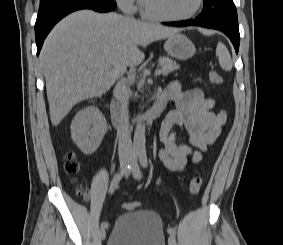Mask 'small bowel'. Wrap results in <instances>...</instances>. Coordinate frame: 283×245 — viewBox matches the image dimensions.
Here are the masks:
<instances>
[{
  "mask_svg": "<svg viewBox=\"0 0 283 245\" xmlns=\"http://www.w3.org/2000/svg\"><path fill=\"white\" fill-rule=\"evenodd\" d=\"M161 94L174 101L176 107L161 124L159 158L168 169L185 171L189 163L200 162L208 146L221 135L227 114L222 109L216 110L214 99L201 89L182 90L177 79L170 81ZM180 127L189 134L190 145L176 143Z\"/></svg>",
  "mask_w": 283,
  "mask_h": 245,
  "instance_id": "c3829d8e",
  "label": "small bowel"
}]
</instances>
